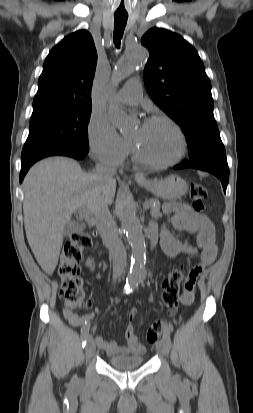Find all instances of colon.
<instances>
[{
    "label": "colon",
    "instance_id": "1",
    "mask_svg": "<svg viewBox=\"0 0 253 413\" xmlns=\"http://www.w3.org/2000/svg\"><path fill=\"white\" fill-rule=\"evenodd\" d=\"M189 196L191 205L195 212L204 215L205 200L207 198L206 188L194 183L190 186ZM92 244V236L88 231H80L71 236L65 243L60 256L57 273L60 278L59 295L66 309L74 311L87 305L86 288L80 276V260L84 249ZM184 278L183 267L175 268L169 272L162 282L161 298L167 307V316L176 319L177 308L180 302V284ZM165 321L154 322L147 331V340L151 343L157 341L165 329Z\"/></svg>",
    "mask_w": 253,
    "mask_h": 413
}]
</instances>
